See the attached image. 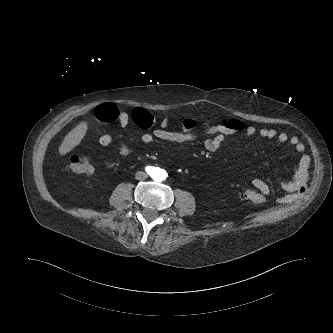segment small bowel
<instances>
[{"instance_id":"small-bowel-1","label":"small bowel","mask_w":333,"mask_h":333,"mask_svg":"<svg viewBox=\"0 0 333 333\" xmlns=\"http://www.w3.org/2000/svg\"><path fill=\"white\" fill-rule=\"evenodd\" d=\"M139 125L142 129L150 128L154 124V117L145 109L137 107L132 110L130 114L125 112L119 113L118 121L121 127H125L129 121ZM230 119L226 122L233 121ZM158 127L150 132L143 133L140 137L143 143H188L197 139L195 130L191 133L180 131H169L167 128L170 125V118L163 117L158 120ZM243 134L246 138H252L257 134L262 138L277 140L281 143H289L294 150L300 155L299 159V171L294 178L282 182V187L287 190V194L279 199L281 203H287L294 201L300 196L306 184V173L310 166V158L304 153L305 146L299 140L297 136H289L285 132H281L274 128H261L256 129L253 126H246L241 132L230 134V135H213L210 138H206L204 141V148L211 153L217 152L222 144L227 140L228 137ZM113 141V136L109 132H103L99 136V143L103 147H108ZM119 152L123 156H128L131 153V147L126 142H121L119 145ZM93 171V170H92ZM251 185L262 195H268L271 191L270 185L260 178H254L251 180Z\"/></svg>"}]
</instances>
